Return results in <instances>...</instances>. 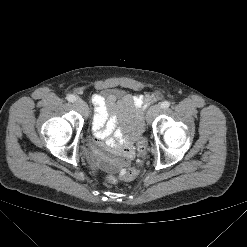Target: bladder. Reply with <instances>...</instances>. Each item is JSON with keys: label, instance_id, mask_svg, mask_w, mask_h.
Segmentation results:
<instances>
[{"label": "bladder", "instance_id": "31cf9c89", "mask_svg": "<svg viewBox=\"0 0 247 247\" xmlns=\"http://www.w3.org/2000/svg\"><path fill=\"white\" fill-rule=\"evenodd\" d=\"M103 94L106 96H113V97H119L121 93L115 89H106L103 91Z\"/></svg>", "mask_w": 247, "mask_h": 247}]
</instances>
